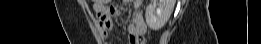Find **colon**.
Masks as SVG:
<instances>
[{"label":"colon","mask_w":261,"mask_h":44,"mask_svg":"<svg viewBox=\"0 0 261 44\" xmlns=\"http://www.w3.org/2000/svg\"><path fill=\"white\" fill-rule=\"evenodd\" d=\"M110 1L108 0H99V1H96L95 2V5L96 6H105L106 4H108ZM111 5H114V2H111ZM146 43V39L141 37V38H138L136 40V44H145Z\"/></svg>","instance_id":"1"}]
</instances>
